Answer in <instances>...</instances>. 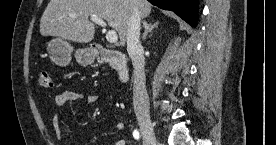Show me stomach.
Returning a JSON list of instances; mask_svg holds the SVG:
<instances>
[{
  "label": "stomach",
  "instance_id": "0dacf381",
  "mask_svg": "<svg viewBox=\"0 0 276 145\" xmlns=\"http://www.w3.org/2000/svg\"><path fill=\"white\" fill-rule=\"evenodd\" d=\"M47 52L50 59L60 66H67L71 61L73 47L63 38H53L46 43ZM97 56L93 47L78 49L75 52L76 60L83 65H89L94 62Z\"/></svg>",
  "mask_w": 276,
  "mask_h": 145
}]
</instances>
